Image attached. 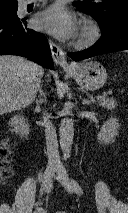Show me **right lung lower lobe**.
<instances>
[{
	"label": "right lung lower lobe",
	"mask_w": 128,
	"mask_h": 213,
	"mask_svg": "<svg viewBox=\"0 0 128 213\" xmlns=\"http://www.w3.org/2000/svg\"><path fill=\"white\" fill-rule=\"evenodd\" d=\"M0 55H19L53 68L47 39L28 29L26 19L0 17Z\"/></svg>",
	"instance_id": "1"
}]
</instances>
